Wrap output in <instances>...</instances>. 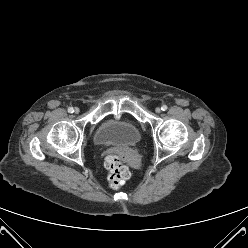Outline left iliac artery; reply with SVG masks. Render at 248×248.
Wrapping results in <instances>:
<instances>
[{"mask_svg":"<svg viewBox=\"0 0 248 248\" xmlns=\"http://www.w3.org/2000/svg\"><path fill=\"white\" fill-rule=\"evenodd\" d=\"M167 108H168V107H167L166 105H162L161 110L166 111Z\"/></svg>","mask_w":248,"mask_h":248,"instance_id":"44dca946","label":"left iliac artery"}]
</instances>
